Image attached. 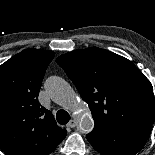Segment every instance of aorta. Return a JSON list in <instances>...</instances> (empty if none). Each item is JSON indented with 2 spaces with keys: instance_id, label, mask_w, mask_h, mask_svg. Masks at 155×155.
<instances>
[{
  "instance_id": "obj_1",
  "label": "aorta",
  "mask_w": 155,
  "mask_h": 155,
  "mask_svg": "<svg viewBox=\"0 0 155 155\" xmlns=\"http://www.w3.org/2000/svg\"><path fill=\"white\" fill-rule=\"evenodd\" d=\"M45 88L57 104L74 113L81 132L89 133L93 130L94 120L87 104L78 99L75 91L67 81L61 77L52 76L46 80Z\"/></svg>"
}]
</instances>
